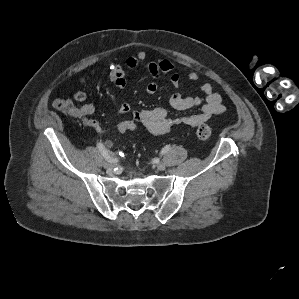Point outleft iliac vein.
I'll list each match as a JSON object with an SVG mask.
<instances>
[{
    "mask_svg": "<svg viewBox=\"0 0 299 299\" xmlns=\"http://www.w3.org/2000/svg\"><path fill=\"white\" fill-rule=\"evenodd\" d=\"M155 166H156V168H157L159 171H163V170H165V168H166V166H165V164H164L163 162H157V163L155 164Z\"/></svg>",
    "mask_w": 299,
    "mask_h": 299,
    "instance_id": "obj_1",
    "label": "left iliac vein"
}]
</instances>
